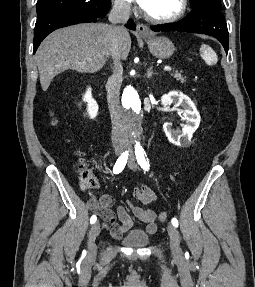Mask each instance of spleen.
<instances>
[{
  "mask_svg": "<svg viewBox=\"0 0 255 287\" xmlns=\"http://www.w3.org/2000/svg\"><path fill=\"white\" fill-rule=\"evenodd\" d=\"M200 52L204 62H206L208 66H214V64H217V56L210 46H205V44H203L200 48Z\"/></svg>",
  "mask_w": 255,
  "mask_h": 287,
  "instance_id": "1",
  "label": "spleen"
}]
</instances>
